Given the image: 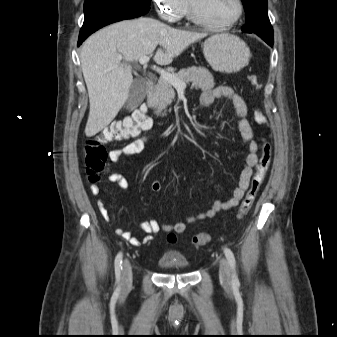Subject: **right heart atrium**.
I'll return each instance as SVG.
<instances>
[{"label": "right heart atrium", "instance_id": "right-heart-atrium-1", "mask_svg": "<svg viewBox=\"0 0 337 337\" xmlns=\"http://www.w3.org/2000/svg\"><path fill=\"white\" fill-rule=\"evenodd\" d=\"M154 3L159 16L169 23L179 21L187 8L185 0H154Z\"/></svg>", "mask_w": 337, "mask_h": 337}]
</instances>
